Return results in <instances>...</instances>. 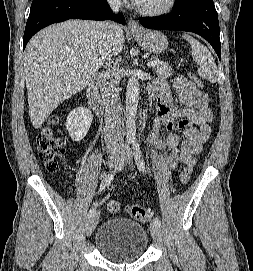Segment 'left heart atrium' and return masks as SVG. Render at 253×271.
Wrapping results in <instances>:
<instances>
[{
	"label": "left heart atrium",
	"mask_w": 253,
	"mask_h": 271,
	"mask_svg": "<svg viewBox=\"0 0 253 271\" xmlns=\"http://www.w3.org/2000/svg\"><path fill=\"white\" fill-rule=\"evenodd\" d=\"M141 1H142V0H132V2L135 3V4H137V5H138Z\"/></svg>",
	"instance_id": "39dd6f15"
}]
</instances>
